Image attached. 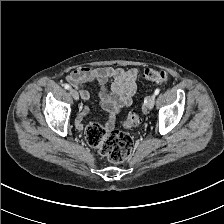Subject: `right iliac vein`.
I'll use <instances>...</instances> for the list:
<instances>
[{"label":"right iliac vein","mask_w":224,"mask_h":224,"mask_svg":"<svg viewBox=\"0 0 224 224\" xmlns=\"http://www.w3.org/2000/svg\"><path fill=\"white\" fill-rule=\"evenodd\" d=\"M70 93H71L72 97H73L76 101L79 100V93L77 92V90H75V89H71V90H70Z\"/></svg>","instance_id":"63e3f726"}]
</instances>
